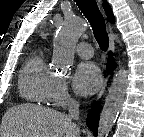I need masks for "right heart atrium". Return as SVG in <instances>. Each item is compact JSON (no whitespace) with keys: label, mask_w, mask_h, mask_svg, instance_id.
<instances>
[{"label":"right heart atrium","mask_w":144,"mask_h":137,"mask_svg":"<svg viewBox=\"0 0 144 137\" xmlns=\"http://www.w3.org/2000/svg\"><path fill=\"white\" fill-rule=\"evenodd\" d=\"M72 101L73 98L67 80L62 77H56L50 102L56 106L65 107Z\"/></svg>","instance_id":"obj_1"}]
</instances>
